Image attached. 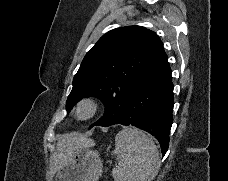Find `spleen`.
<instances>
[{
	"label": "spleen",
	"instance_id": "1",
	"mask_svg": "<svg viewBox=\"0 0 228 181\" xmlns=\"http://www.w3.org/2000/svg\"><path fill=\"white\" fill-rule=\"evenodd\" d=\"M112 153L118 159L112 169L114 181H152L158 173V149L143 131L123 127L115 137Z\"/></svg>",
	"mask_w": 228,
	"mask_h": 181
}]
</instances>
